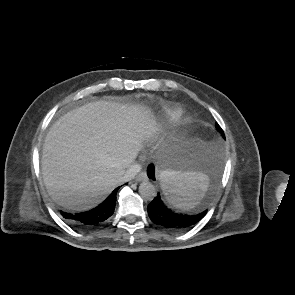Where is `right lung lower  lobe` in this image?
Here are the masks:
<instances>
[{"mask_svg":"<svg viewBox=\"0 0 295 295\" xmlns=\"http://www.w3.org/2000/svg\"><path fill=\"white\" fill-rule=\"evenodd\" d=\"M118 189L119 187L116 188L103 203L90 211L79 213L76 215L62 212V216L72 223L84 228H91L101 225L114 212L116 205V194Z\"/></svg>","mask_w":295,"mask_h":295,"instance_id":"right-lung-lower-lobe-1","label":"right lung lower lobe"}]
</instances>
